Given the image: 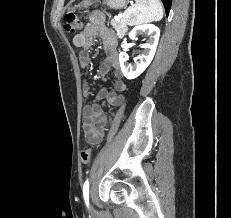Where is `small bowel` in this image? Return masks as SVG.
<instances>
[{
    "mask_svg": "<svg viewBox=\"0 0 231 218\" xmlns=\"http://www.w3.org/2000/svg\"><path fill=\"white\" fill-rule=\"evenodd\" d=\"M97 36L100 37L103 49L106 52V57L99 70L104 75L114 69L116 81L114 90H100L95 101L83 108V129L88 137L90 135L94 136V139L91 140L94 144L102 141L107 125L111 120V116H106L102 113L97 101L105 99L110 105L119 106L123 101V93L126 90V84L122 80L123 74L119 65L118 40L114 31L106 26L105 16L100 11L91 12L83 30L73 38L74 45L82 50L79 57L81 67L87 68L91 64V58L87 52L94 45ZM82 93L86 98L90 96V87L87 82H83Z\"/></svg>",
    "mask_w": 231,
    "mask_h": 218,
    "instance_id": "1",
    "label": "small bowel"
}]
</instances>
